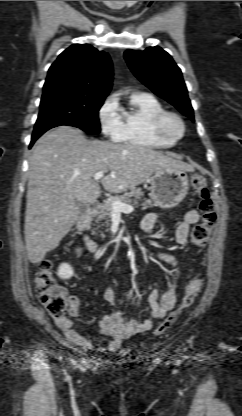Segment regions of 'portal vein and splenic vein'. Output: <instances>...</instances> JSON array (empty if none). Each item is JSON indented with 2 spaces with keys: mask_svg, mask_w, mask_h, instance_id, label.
Listing matches in <instances>:
<instances>
[{
  "mask_svg": "<svg viewBox=\"0 0 242 416\" xmlns=\"http://www.w3.org/2000/svg\"><path fill=\"white\" fill-rule=\"evenodd\" d=\"M103 177H104V172L103 171H99V172H97L94 175L93 178H94V180L98 181V180H100ZM112 209H113V212H117V213H120V212L128 213V212H132L133 211V207L131 205L124 204V203H122L120 201H114L112 203Z\"/></svg>",
  "mask_w": 242,
  "mask_h": 416,
  "instance_id": "obj_1",
  "label": "portal vein and splenic vein"
}]
</instances>
